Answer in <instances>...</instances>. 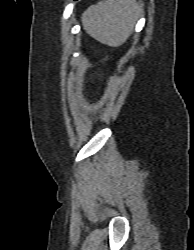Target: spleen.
I'll use <instances>...</instances> for the list:
<instances>
[{
	"mask_svg": "<svg viewBox=\"0 0 194 250\" xmlns=\"http://www.w3.org/2000/svg\"><path fill=\"white\" fill-rule=\"evenodd\" d=\"M140 11L135 0H104L83 13L82 23L95 40L117 47L131 35Z\"/></svg>",
	"mask_w": 194,
	"mask_h": 250,
	"instance_id": "3e777b00",
	"label": "spleen"
}]
</instances>
